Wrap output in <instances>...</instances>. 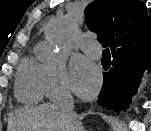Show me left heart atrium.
Masks as SVG:
<instances>
[{
    "instance_id": "left-heart-atrium-1",
    "label": "left heart atrium",
    "mask_w": 151,
    "mask_h": 131,
    "mask_svg": "<svg viewBox=\"0 0 151 131\" xmlns=\"http://www.w3.org/2000/svg\"><path fill=\"white\" fill-rule=\"evenodd\" d=\"M101 73L96 65L84 57H77L72 65V87L82 98L96 94L101 85Z\"/></svg>"
}]
</instances>
